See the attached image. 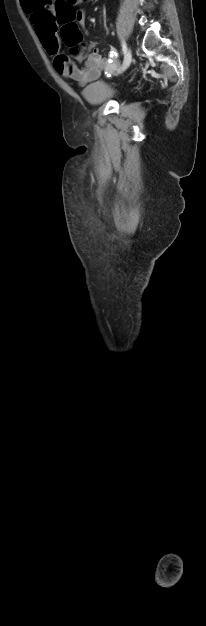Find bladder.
<instances>
[{"label":"bladder","instance_id":"bladder-1","mask_svg":"<svg viewBox=\"0 0 206 626\" xmlns=\"http://www.w3.org/2000/svg\"><path fill=\"white\" fill-rule=\"evenodd\" d=\"M117 94V89L104 81L92 83L82 92L83 98L94 105L113 100Z\"/></svg>","mask_w":206,"mask_h":626}]
</instances>
